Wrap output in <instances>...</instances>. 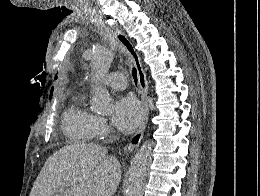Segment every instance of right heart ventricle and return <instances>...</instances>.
I'll return each mask as SVG.
<instances>
[{
	"instance_id": "right-heart-ventricle-1",
	"label": "right heart ventricle",
	"mask_w": 260,
	"mask_h": 196,
	"mask_svg": "<svg viewBox=\"0 0 260 196\" xmlns=\"http://www.w3.org/2000/svg\"><path fill=\"white\" fill-rule=\"evenodd\" d=\"M95 118V114L87 107L85 90L75 91L73 101L63 116L67 132L93 129ZM94 141L93 138L85 137L76 143H94ZM50 192H58V190H50Z\"/></svg>"
}]
</instances>
